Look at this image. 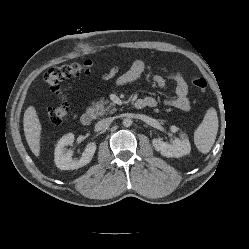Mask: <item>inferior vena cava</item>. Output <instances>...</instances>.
<instances>
[{
  "instance_id": "602c4592",
  "label": "inferior vena cava",
  "mask_w": 249,
  "mask_h": 249,
  "mask_svg": "<svg viewBox=\"0 0 249 249\" xmlns=\"http://www.w3.org/2000/svg\"><path fill=\"white\" fill-rule=\"evenodd\" d=\"M112 121H113L112 118L102 119L96 123L95 127H96V129L101 130V129L107 127L108 125H110Z\"/></svg>"
}]
</instances>
